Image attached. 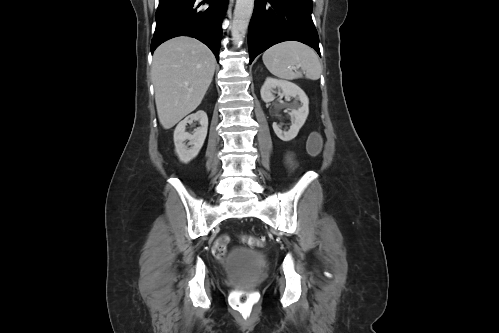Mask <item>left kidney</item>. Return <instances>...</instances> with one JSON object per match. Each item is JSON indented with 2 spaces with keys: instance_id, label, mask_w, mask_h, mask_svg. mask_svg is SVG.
I'll list each match as a JSON object with an SVG mask.
<instances>
[{
  "instance_id": "obj_1",
  "label": "left kidney",
  "mask_w": 499,
  "mask_h": 333,
  "mask_svg": "<svg viewBox=\"0 0 499 333\" xmlns=\"http://www.w3.org/2000/svg\"><path fill=\"white\" fill-rule=\"evenodd\" d=\"M275 89H279L281 91L279 94L282 96L293 97L300 101V105L295 103L292 106V125L288 131L282 130L281 125L276 122L273 123V130L275 134L283 141H290L297 136L300 128L304 125L307 119L309 114V99L298 85L285 80L267 78L260 91L262 100L266 103L273 101L275 99Z\"/></svg>"
}]
</instances>
